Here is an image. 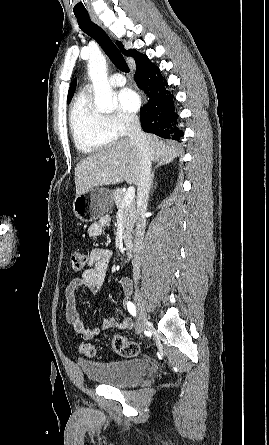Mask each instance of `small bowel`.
Here are the masks:
<instances>
[{
    "label": "small bowel",
    "mask_w": 269,
    "mask_h": 445,
    "mask_svg": "<svg viewBox=\"0 0 269 445\" xmlns=\"http://www.w3.org/2000/svg\"><path fill=\"white\" fill-rule=\"evenodd\" d=\"M108 224L106 217L99 221L92 223L89 226L88 232L93 237H98L102 234L104 227ZM112 258V251L107 248H95L91 250L87 257V269L84 270L81 277L71 280L65 289V312L67 322L73 326L74 330L84 339H92L99 335L102 331L117 328L130 329L132 321L129 317L122 321H117L113 317L105 318L100 326L88 328L82 320L76 305V291L79 288L88 289L93 295H97L105 280L108 265ZM119 284L127 297L132 293V284L127 277H122ZM127 303L124 302V308Z\"/></svg>",
    "instance_id": "1"
}]
</instances>
